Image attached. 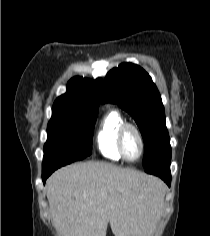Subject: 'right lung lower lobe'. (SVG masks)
I'll list each match as a JSON object with an SVG mask.
<instances>
[{
    "mask_svg": "<svg viewBox=\"0 0 210 236\" xmlns=\"http://www.w3.org/2000/svg\"><path fill=\"white\" fill-rule=\"evenodd\" d=\"M71 162L68 161H43L42 164V180L45 184L46 179L58 168L70 164Z\"/></svg>",
    "mask_w": 210,
    "mask_h": 236,
    "instance_id": "obj_1",
    "label": "right lung lower lobe"
}]
</instances>
